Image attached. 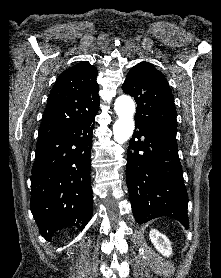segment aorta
Returning <instances> with one entry per match:
<instances>
[{
  "instance_id": "aorta-1",
  "label": "aorta",
  "mask_w": 221,
  "mask_h": 278,
  "mask_svg": "<svg viewBox=\"0 0 221 278\" xmlns=\"http://www.w3.org/2000/svg\"><path fill=\"white\" fill-rule=\"evenodd\" d=\"M114 106L118 116L113 125L114 140L122 144L133 134L135 104L131 97L122 95L116 99Z\"/></svg>"
}]
</instances>
